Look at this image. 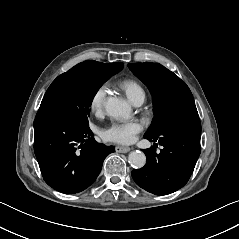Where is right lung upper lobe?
I'll list each match as a JSON object with an SVG mask.
<instances>
[{
	"label": "right lung upper lobe",
	"instance_id": "right-lung-upper-lobe-1",
	"mask_svg": "<svg viewBox=\"0 0 239 239\" xmlns=\"http://www.w3.org/2000/svg\"><path fill=\"white\" fill-rule=\"evenodd\" d=\"M81 64H94V65L100 66L108 71H111L115 74L123 69V63H121V62L104 64V63L96 62V61H84Z\"/></svg>",
	"mask_w": 239,
	"mask_h": 239
}]
</instances>
